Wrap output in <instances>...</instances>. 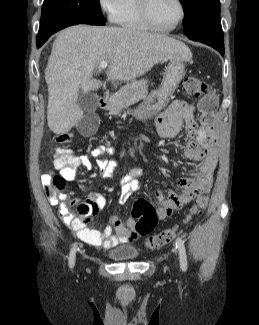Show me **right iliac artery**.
<instances>
[{"label":"right iliac artery","instance_id":"right-iliac-artery-1","mask_svg":"<svg viewBox=\"0 0 259 325\" xmlns=\"http://www.w3.org/2000/svg\"><path fill=\"white\" fill-rule=\"evenodd\" d=\"M76 247L77 245L75 244L71 251H70V254H69V267L70 268H73L74 267V264H75V257H76Z\"/></svg>","mask_w":259,"mask_h":325}]
</instances>
